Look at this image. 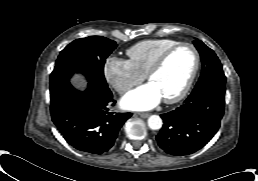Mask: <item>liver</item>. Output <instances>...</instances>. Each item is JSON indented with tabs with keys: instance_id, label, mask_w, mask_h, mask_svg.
<instances>
[{
	"instance_id": "liver-1",
	"label": "liver",
	"mask_w": 258,
	"mask_h": 181,
	"mask_svg": "<svg viewBox=\"0 0 258 181\" xmlns=\"http://www.w3.org/2000/svg\"><path fill=\"white\" fill-rule=\"evenodd\" d=\"M72 83L78 88L85 87V81L79 75L73 77Z\"/></svg>"
}]
</instances>
